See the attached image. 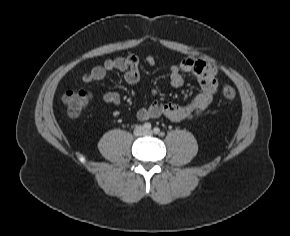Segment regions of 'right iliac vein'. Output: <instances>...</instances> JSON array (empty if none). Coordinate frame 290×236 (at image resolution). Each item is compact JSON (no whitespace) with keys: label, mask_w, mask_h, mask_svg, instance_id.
<instances>
[{"label":"right iliac vein","mask_w":290,"mask_h":236,"mask_svg":"<svg viewBox=\"0 0 290 236\" xmlns=\"http://www.w3.org/2000/svg\"><path fill=\"white\" fill-rule=\"evenodd\" d=\"M143 131H144L143 127L138 126V127L134 130V133H135L136 135H140V134L143 133Z\"/></svg>","instance_id":"63e3f726"}]
</instances>
